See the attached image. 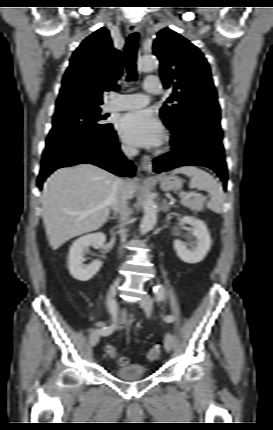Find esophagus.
Returning a JSON list of instances; mask_svg holds the SVG:
<instances>
[{
    "instance_id": "34e87169",
    "label": "esophagus",
    "mask_w": 273,
    "mask_h": 430,
    "mask_svg": "<svg viewBox=\"0 0 273 430\" xmlns=\"http://www.w3.org/2000/svg\"><path fill=\"white\" fill-rule=\"evenodd\" d=\"M127 31L128 33L139 32V26L135 23H130L127 26ZM140 166L142 170H144L147 173H150L152 171L151 157L149 155H144L140 160Z\"/></svg>"
}]
</instances>
